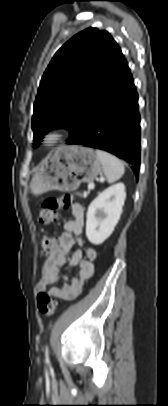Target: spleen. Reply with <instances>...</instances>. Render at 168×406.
Here are the masks:
<instances>
[{
  "label": "spleen",
  "instance_id": "1",
  "mask_svg": "<svg viewBox=\"0 0 168 406\" xmlns=\"http://www.w3.org/2000/svg\"><path fill=\"white\" fill-rule=\"evenodd\" d=\"M96 154L102 164L104 174L109 183H113L122 177L125 172L122 161L102 150H96Z\"/></svg>",
  "mask_w": 168,
  "mask_h": 406
}]
</instances>
